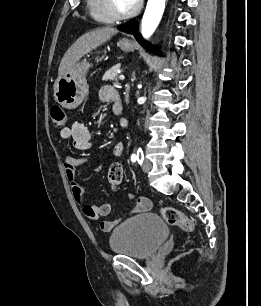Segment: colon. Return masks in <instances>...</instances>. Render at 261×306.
I'll return each instance as SVG.
<instances>
[{"label": "colon", "mask_w": 261, "mask_h": 306, "mask_svg": "<svg viewBox=\"0 0 261 306\" xmlns=\"http://www.w3.org/2000/svg\"><path fill=\"white\" fill-rule=\"evenodd\" d=\"M50 116L55 128L63 129L66 125V114L59 105H53L50 109ZM123 178V166L119 162H114L110 165L108 171V183L116 189L122 182ZM162 216L164 220L172 225L177 226L185 231H191L193 229V223L190 218L183 214L180 210L174 207H164L162 209Z\"/></svg>", "instance_id": "obj_1"}]
</instances>
